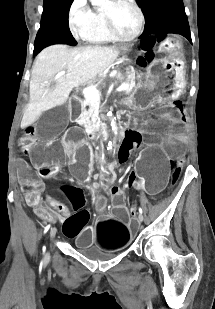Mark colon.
Here are the masks:
<instances>
[{
  "mask_svg": "<svg viewBox=\"0 0 215 309\" xmlns=\"http://www.w3.org/2000/svg\"><path fill=\"white\" fill-rule=\"evenodd\" d=\"M44 162L42 163L43 171L51 170V166L57 164V161L52 156H44ZM77 221L84 223L86 221V216L82 213L78 214Z\"/></svg>",
  "mask_w": 215,
  "mask_h": 309,
  "instance_id": "5ec220e1",
  "label": "colon"
}]
</instances>
